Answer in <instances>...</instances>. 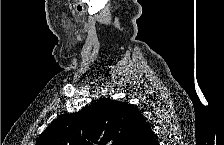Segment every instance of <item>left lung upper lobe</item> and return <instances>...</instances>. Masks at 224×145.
I'll use <instances>...</instances> for the list:
<instances>
[{
    "label": "left lung upper lobe",
    "mask_w": 224,
    "mask_h": 145,
    "mask_svg": "<svg viewBox=\"0 0 224 145\" xmlns=\"http://www.w3.org/2000/svg\"><path fill=\"white\" fill-rule=\"evenodd\" d=\"M141 116L127 102L103 98L53 121L36 145H128Z\"/></svg>",
    "instance_id": "5c2ea615"
}]
</instances>
